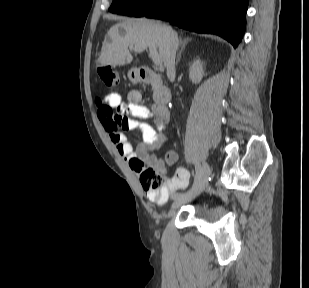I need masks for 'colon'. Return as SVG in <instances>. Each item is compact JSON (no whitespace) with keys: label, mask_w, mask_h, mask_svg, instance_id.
Segmentation results:
<instances>
[{"label":"colon","mask_w":309,"mask_h":288,"mask_svg":"<svg viewBox=\"0 0 309 288\" xmlns=\"http://www.w3.org/2000/svg\"><path fill=\"white\" fill-rule=\"evenodd\" d=\"M98 75L101 83L107 88L117 87L119 85L118 73L111 66H100ZM99 112L110 117L114 124L124 125L128 116L124 109L118 108L114 111L110 106L98 100ZM152 166V165H151ZM164 170L156 171L152 167L140 172V182L143 188L148 192H158L162 187Z\"/></svg>","instance_id":"1"}]
</instances>
